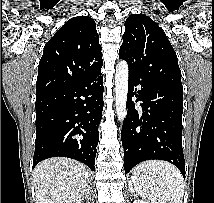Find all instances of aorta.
Segmentation results:
<instances>
[{
	"label": "aorta",
	"instance_id": "1",
	"mask_svg": "<svg viewBox=\"0 0 214 203\" xmlns=\"http://www.w3.org/2000/svg\"><path fill=\"white\" fill-rule=\"evenodd\" d=\"M128 94V64L120 61L116 65L115 74V96L116 114L120 122H123L127 115L126 103Z\"/></svg>",
	"mask_w": 214,
	"mask_h": 203
}]
</instances>
